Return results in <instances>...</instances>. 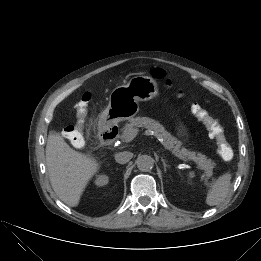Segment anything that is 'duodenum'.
<instances>
[{
    "label": "duodenum",
    "mask_w": 261,
    "mask_h": 261,
    "mask_svg": "<svg viewBox=\"0 0 261 261\" xmlns=\"http://www.w3.org/2000/svg\"><path fill=\"white\" fill-rule=\"evenodd\" d=\"M118 136L117 127H107L102 129L100 133V139L105 145H112Z\"/></svg>",
    "instance_id": "obj_1"
}]
</instances>
